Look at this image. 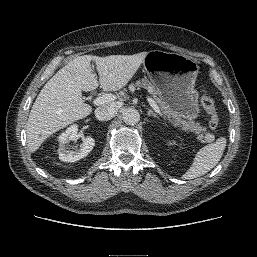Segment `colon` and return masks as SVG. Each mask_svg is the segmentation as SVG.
<instances>
[{"label": "colon", "instance_id": "obj_1", "mask_svg": "<svg viewBox=\"0 0 257 257\" xmlns=\"http://www.w3.org/2000/svg\"><path fill=\"white\" fill-rule=\"evenodd\" d=\"M200 102L204 110L208 113V125L215 129L219 124V116L216 110L214 99L206 92L202 93Z\"/></svg>", "mask_w": 257, "mask_h": 257}]
</instances>
